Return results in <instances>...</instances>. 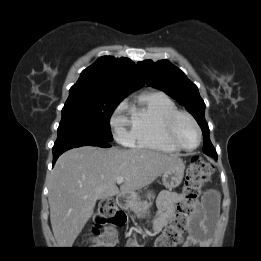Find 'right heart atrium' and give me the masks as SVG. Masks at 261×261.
<instances>
[{
	"mask_svg": "<svg viewBox=\"0 0 261 261\" xmlns=\"http://www.w3.org/2000/svg\"><path fill=\"white\" fill-rule=\"evenodd\" d=\"M126 105L121 104L117 113L112 118V126L115 131L116 139L124 144L129 143V131L127 130L128 120L122 114L123 110L125 109Z\"/></svg>",
	"mask_w": 261,
	"mask_h": 261,
	"instance_id": "1",
	"label": "right heart atrium"
}]
</instances>
